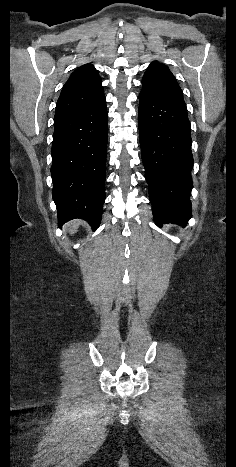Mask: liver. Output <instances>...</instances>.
I'll use <instances>...</instances> for the list:
<instances>
[{
    "mask_svg": "<svg viewBox=\"0 0 236 467\" xmlns=\"http://www.w3.org/2000/svg\"><path fill=\"white\" fill-rule=\"evenodd\" d=\"M78 226H79V221H76V220L67 224V228L69 229L71 234H74L77 231Z\"/></svg>",
    "mask_w": 236,
    "mask_h": 467,
    "instance_id": "6515ba94",
    "label": "liver"
}]
</instances>
